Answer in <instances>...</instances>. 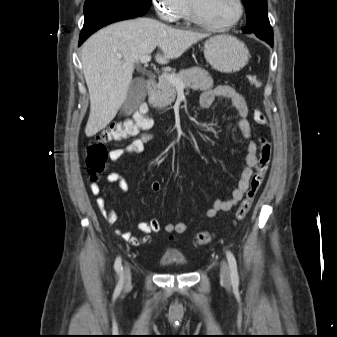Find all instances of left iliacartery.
<instances>
[{
    "label": "left iliac artery",
    "mask_w": 337,
    "mask_h": 337,
    "mask_svg": "<svg viewBox=\"0 0 337 337\" xmlns=\"http://www.w3.org/2000/svg\"><path fill=\"white\" fill-rule=\"evenodd\" d=\"M226 256H227V260H228L230 271H231V281L233 284H238L239 277H238L236 259L231 251H227Z\"/></svg>",
    "instance_id": "44dca946"
}]
</instances>
